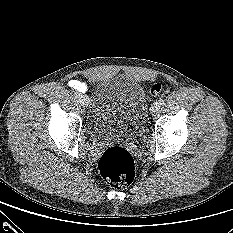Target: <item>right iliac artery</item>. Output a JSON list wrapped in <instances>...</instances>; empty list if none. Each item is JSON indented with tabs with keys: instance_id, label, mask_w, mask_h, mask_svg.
Segmentation results:
<instances>
[{
	"instance_id": "82829eb1",
	"label": "right iliac artery",
	"mask_w": 233,
	"mask_h": 233,
	"mask_svg": "<svg viewBox=\"0 0 233 233\" xmlns=\"http://www.w3.org/2000/svg\"><path fill=\"white\" fill-rule=\"evenodd\" d=\"M74 96H75V98H79L81 95H80V93L76 92V93L74 94Z\"/></svg>"
}]
</instances>
